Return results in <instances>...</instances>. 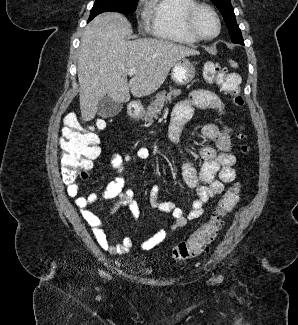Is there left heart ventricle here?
<instances>
[{
	"label": "left heart ventricle",
	"instance_id": "obj_1",
	"mask_svg": "<svg viewBox=\"0 0 298 325\" xmlns=\"http://www.w3.org/2000/svg\"><path fill=\"white\" fill-rule=\"evenodd\" d=\"M193 26L203 38H209L213 36L216 30L213 18L205 10L198 11L193 19Z\"/></svg>",
	"mask_w": 298,
	"mask_h": 325
}]
</instances>
